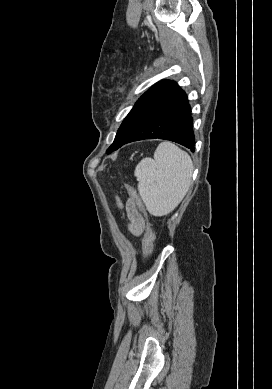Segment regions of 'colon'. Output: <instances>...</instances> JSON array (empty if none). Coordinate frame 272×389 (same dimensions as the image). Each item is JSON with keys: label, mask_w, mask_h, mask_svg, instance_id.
<instances>
[{"label": "colon", "mask_w": 272, "mask_h": 389, "mask_svg": "<svg viewBox=\"0 0 272 389\" xmlns=\"http://www.w3.org/2000/svg\"><path fill=\"white\" fill-rule=\"evenodd\" d=\"M127 190L129 192L131 199L137 204V206L141 210V212L145 213L144 206H143L136 190L129 185H127ZM117 204L120 207L122 205L119 199H117ZM154 242H155V234H154V231H153L151 224L148 222L147 226H146L144 238H143L144 253H145V256L147 258L150 257V255L153 252Z\"/></svg>", "instance_id": "obj_1"}]
</instances>
